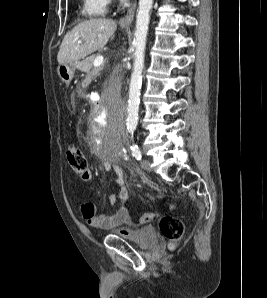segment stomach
<instances>
[{
  "label": "stomach",
  "instance_id": "1",
  "mask_svg": "<svg viewBox=\"0 0 267 298\" xmlns=\"http://www.w3.org/2000/svg\"><path fill=\"white\" fill-rule=\"evenodd\" d=\"M79 63L78 61L67 63V64H61L57 68L58 75L60 79L69 84L71 80L74 77V73L76 69L78 68Z\"/></svg>",
  "mask_w": 267,
  "mask_h": 298
}]
</instances>
